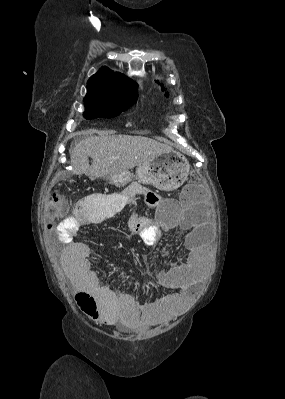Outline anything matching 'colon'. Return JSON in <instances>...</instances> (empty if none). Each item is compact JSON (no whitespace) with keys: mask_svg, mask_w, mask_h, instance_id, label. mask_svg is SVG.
I'll use <instances>...</instances> for the list:
<instances>
[{"mask_svg":"<svg viewBox=\"0 0 285 399\" xmlns=\"http://www.w3.org/2000/svg\"><path fill=\"white\" fill-rule=\"evenodd\" d=\"M203 185L204 182L201 177H193L188 181L185 188V193L196 192L202 188ZM145 199L150 206H156L160 200L159 196L152 192L147 193L145 195ZM44 208L48 220L55 222L65 219V213L67 209L65 194L61 191H53L47 199ZM51 230L53 231V238L55 241L63 240L66 242H72L77 240L73 233L69 231H62L60 234H57L56 225L54 223L53 226H51ZM93 305L94 303H91V306Z\"/></svg>","mask_w":285,"mask_h":399,"instance_id":"colon-1","label":"colon"}]
</instances>
